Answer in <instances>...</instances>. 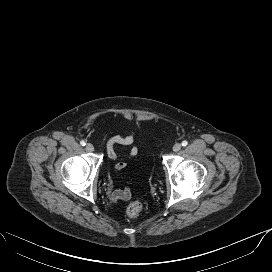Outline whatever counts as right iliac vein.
<instances>
[{"mask_svg":"<svg viewBox=\"0 0 272 272\" xmlns=\"http://www.w3.org/2000/svg\"><path fill=\"white\" fill-rule=\"evenodd\" d=\"M86 150L92 152V151H94V146L91 143H88L86 145Z\"/></svg>","mask_w":272,"mask_h":272,"instance_id":"1","label":"right iliac vein"}]
</instances>
